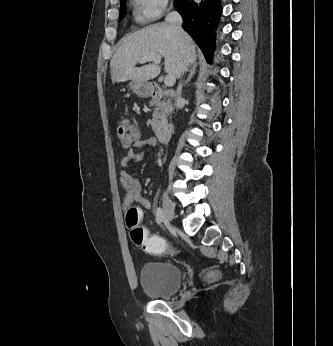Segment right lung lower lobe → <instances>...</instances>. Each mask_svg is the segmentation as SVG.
Here are the masks:
<instances>
[{
  "instance_id": "1",
  "label": "right lung lower lobe",
  "mask_w": 333,
  "mask_h": 346,
  "mask_svg": "<svg viewBox=\"0 0 333 346\" xmlns=\"http://www.w3.org/2000/svg\"><path fill=\"white\" fill-rule=\"evenodd\" d=\"M174 7L184 19L183 29L195 40L211 63L215 49V29L222 13L220 0H175Z\"/></svg>"
}]
</instances>
